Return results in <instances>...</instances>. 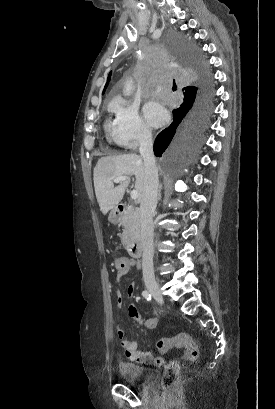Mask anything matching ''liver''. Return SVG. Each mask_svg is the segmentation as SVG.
Instances as JSON below:
<instances>
[{
	"label": "liver",
	"mask_w": 275,
	"mask_h": 409,
	"mask_svg": "<svg viewBox=\"0 0 275 409\" xmlns=\"http://www.w3.org/2000/svg\"><path fill=\"white\" fill-rule=\"evenodd\" d=\"M93 174L96 198L103 215H107L108 211L119 205L129 184V180H122L118 186H114L113 178H116V176L135 174V188L138 190V202H141L145 164L140 154L101 156L93 170Z\"/></svg>",
	"instance_id": "6515ba94"
}]
</instances>
